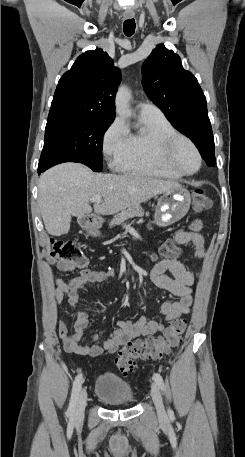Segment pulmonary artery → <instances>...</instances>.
<instances>
[{
	"label": "pulmonary artery",
	"instance_id": "e3ab8cb5",
	"mask_svg": "<svg viewBox=\"0 0 245 457\" xmlns=\"http://www.w3.org/2000/svg\"><path fill=\"white\" fill-rule=\"evenodd\" d=\"M136 110L138 111L140 116L145 117L162 114L161 110L156 105L146 102H138L136 104Z\"/></svg>",
	"mask_w": 245,
	"mask_h": 457
}]
</instances>
